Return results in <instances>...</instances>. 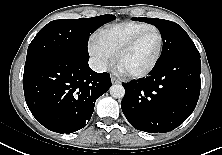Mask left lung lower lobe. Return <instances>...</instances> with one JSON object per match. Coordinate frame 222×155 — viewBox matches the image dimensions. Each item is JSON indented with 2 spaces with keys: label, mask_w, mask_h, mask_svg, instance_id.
I'll return each mask as SVG.
<instances>
[{
  "label": "left lung lower lobe",
  "mask_w": 222,
  "mask_h": 155,
  "mask_svg": "<svg viewBox=\"0 0 222 155\" xmlns=\"http://www.w3.org/2000/svg\"><path fill=\"white\" fill-rule=\"evenodd\" d=\"M200 56L178 55L156 62L149 76L122 83V111L138 130L169 132L193 112L200 94Z\"/></svg>",
  "instance_id": "obj_1"
}]
</instances>
